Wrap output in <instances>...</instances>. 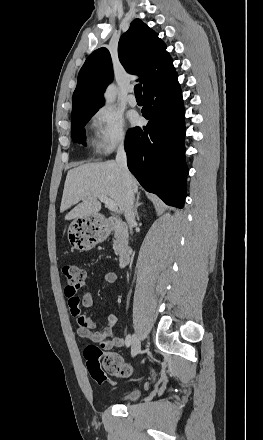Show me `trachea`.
<instances>
[{"mask_svg": "<svg viewBox=\"0 0 263 440\" xmlns=\"http://www.w3.org/2000/svg\"><path fill=\"white\" fill-rule=\"evenodd\" d=\"M134 92L136 97H142V85L141 84L135 85Z\"/></svg>", "mask_w": 263, "mask_h": 440, "instance_id": "1", "label": "trachea"}]
</instances>
